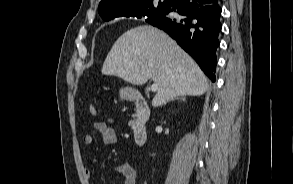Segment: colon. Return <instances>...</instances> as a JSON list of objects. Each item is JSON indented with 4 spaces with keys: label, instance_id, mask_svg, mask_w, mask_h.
I'll list each match as a JSON object with an SVG mask.
<instances>
[{
    "label": "colon",
    "instance_id": "obj_1",
    "mask_svg": "<svg viewBox=\"0 0 293 184\" xmlns=\"http://www.w3.org/2000/svg\"><path fill=\"white\" fill-rule=\"evenodd\" d=\"M89 111H90V114H91V115H93V116L96 115V108H95L94 105L91 104V105L89 106Z\"/></svg>",
    "mask_w": 293,
    "mask_h": 184
}]
</instances>
